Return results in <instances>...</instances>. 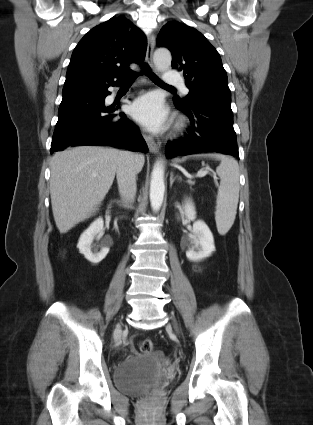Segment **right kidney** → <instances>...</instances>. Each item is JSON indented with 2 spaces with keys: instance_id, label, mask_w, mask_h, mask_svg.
Listing matches in <instances>:
<instances>
[{
  "instance_id": "obj_1",
  "label": "right kidney",
  "mask_w": 313,
  "mask_h": 425,
  "mask_svg": "<svg viewBox=\"0 0 313 425\" xmlns=\"http://www.w3.org/2000/svg\"><path fill=\"white\" fill-rule=\"evenodd\" d=\"M103 219L97 218L87 230H85L79 238L77 248L85 258L93 264H97L102 261L109 252L108 245L102 246L101 250L92 251V242L96 236L103 235Z\"/></svg>"
}]
</instances>
